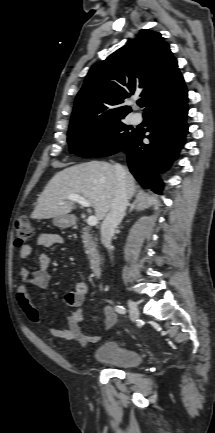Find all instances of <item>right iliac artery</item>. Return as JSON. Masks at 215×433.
<instances>
[{
	"instance_id": "obj_1",
	"label": "right iliac artery",
	"mask_w": 215,
	"mask_h": 433,
	"mask_svg": "<svg viewBox=\"0 0 215 433\" xmlns=\"http://www.w3.org/2000/svg\"><path fill=\"white\" fill-rule=\"evenodd\" d=\"M115 310L120 314H125L127 312L126 309L121 305L115 306Z\"/></svg>"
}]
</instances>
